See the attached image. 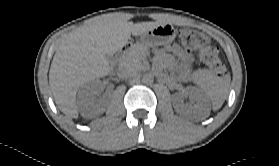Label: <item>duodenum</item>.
<instances>
[{
    "instance_id": "1",
    "label": "duodenum",
    "mask_w": 279,
    "mask_h": 166,
    "mask_svg": "<svg viewBox=\"0 0 279 166\" xmlns=\"http://www.w3.org/2000/svg\"><path fill=\"white\" fill-rule=\"evenodd\" d=\"M132 48V43L127 42L122 45L118 50V58L121 59L130 49Z\"/></svg>"
}]
</instances>
